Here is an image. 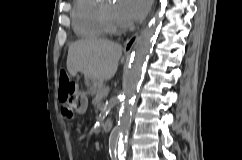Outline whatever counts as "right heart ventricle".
Instances as JSON below:
<instances>
[{"label":"right heart ventricle","mask_w":242,"mask_h":160,"mask_svg":"<svg viewBox=\"0 0 242 160\" xmlns=\"http://www.w3.org/2000/svg\"><path fill=\"white\" fill-rule=\"evenodd\" d=\"M97 0H74L71 19L75 33L84 39H99L104 31L99 22Z\"/></svg>","instance_id":"e07e8e85"}]
</instances>
